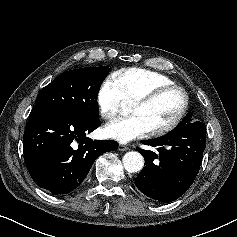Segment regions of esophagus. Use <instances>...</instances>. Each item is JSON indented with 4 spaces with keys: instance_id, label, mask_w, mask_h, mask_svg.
I'll use <instances>...</instances> for the list:
<instances>
[{
    "instance_id": "obj_1",
    "label": "esophagus",
    "mask_w": 237,
    "mask_h": 237,
    "mask_svg": "<svg viewBox=\"0 0 237 237\" xmlns=\"http://www.w3.org/2000/svg\"><path fill=\"white\" fill-rule=\"evenodd\" d=\"M129 148H128V146L127 145H124V144H119L118 145V150L119 151H126V150H128Z\"/></svg>"
}]
</instances>
